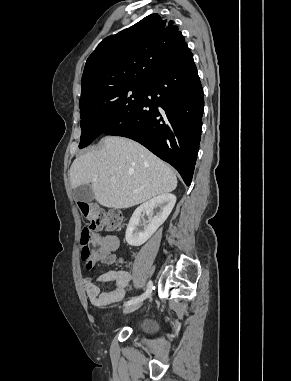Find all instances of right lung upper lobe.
Wrapping results in <instances>:
<instances>
[{
	"instance_id": "cb5924a9",
	"label": "right lung upper lobe",
	"mask_w": 291,
	"mask_h": 381,
	"mask_svg": "<svg viewBox=\"0 0 291 381\" xmlns=\"http://www.w3.org/2000/svg\"><path fill=\"white\" fill-rule=\"evenodd\" d=\"M186 48L174 22L156 13L106 37L86 61L79 104L109 88L147 83Z\"/></svg>"
}]
</instances>
